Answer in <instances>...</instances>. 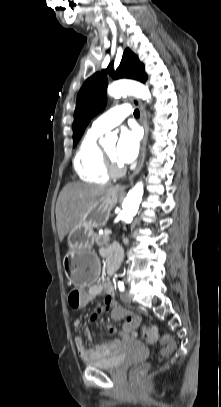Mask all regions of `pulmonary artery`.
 <instances>
[{
  "instance_id": "pulmonary-artery-1",
  "label": "pulmonary artery",
  "mask_w": 221,
  "mask_h": 407,
  "mask_svg": "<svg viewBox=\"0 0 221 407\" xmlns=\"http://www.w3.org/2000/svg\"><path fill=\"white\" fill-rule=\"evenodd\" d=\"M131 112L129 104L115 106L99 116L92 123L90 130L102 134L119 125Z\"/></svg>"
}]
</instances>
